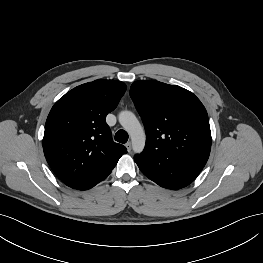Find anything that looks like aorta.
Here are the masks:
<instances>
[{
  "instance_id": "aorta-1",
  "label": "aorta",
  "mask_w": 263,
  "mask_h": 263,
  "mask_svg": "<svg viewBox=\"0 0 263 263\" xmlns=\"http://www.w3.org/2000/svg\"><path fill=\"white\" fill-rule=\"evenodd\" d=\"M120 124L128 132L135 153H140L145 147L146 135L137 117L131 111H122L118 116Z\"/></svg>"
}]
</instances>
